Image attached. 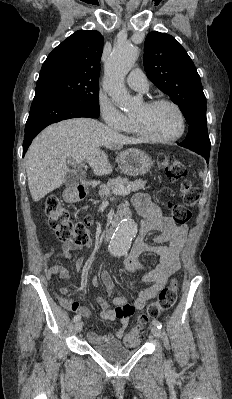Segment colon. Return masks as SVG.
<instances>
[{"label": "colon", "instance_id": "obj_1", "mask_svg": "<svg viewBox=\"0 0 232 399\" xmlns=\"http://www.w3.org/2000/svg\"><path fill=\"white\" fill-rule=\"evenodd\" d=\"M160 167L165 168V172H170L173 175V180H179L178 186H185L184 195L189 199L184 203H174V198H166L167 212H173V208H178L175 211L176 222H194L191 212L203 205V198L198 191L196 179L189 175V170H185V168H191L192 164L187 160H176L173 156H168L161 161ZM42 195H47V200H42V206L46 219L50 221L49 227L55 231L57 239L71 240L73 244L80 245L89 244V241L94 239V230L87 228L93 227V222H72L65 209L56 202L53 194ZM83 219L91 220L92 216L84 215ZM180 286L181 281L177 277H172L168 281V289H160L161 295L148 311V316L152 320H157L163 312H168L169 303L177 297ZM146 322L147 319L142 317L140 322H135L132 325V333H128L124 337L125 347H138L139 336L136 335L143 334L142 330H146Z\"/></svg>", "mask_w": 232, "mask_h": 399}]
</instances>
